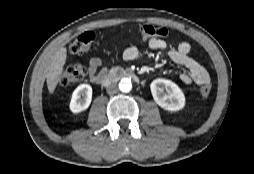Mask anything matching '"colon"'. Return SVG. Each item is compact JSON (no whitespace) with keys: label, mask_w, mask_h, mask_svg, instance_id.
Masks as SVG:
<instances>
[{"label":"colon","mask_w":254,"mask_h":174,"mask_svg":"<svg viewBox=\"0 0 254 174\" xmlns=\"http://www.w3.org/2000/svg\"><path fill=\"white\" fill-rule=\"evenodd\" d=\"M138 34L141 39L147 38H165L168 36V30L163 27H155L151 25H143L139 28ZM94 35L91 32L81 34L70 47V51L75 56H82L93 47ZM86 69L81 63L74 64L65 68L60 77V85L66 86L84 79ZM212 91L210 83L204 84L200 89L202 98H207Z\"/></svg>","instance_id":"1"}]
</instances>
